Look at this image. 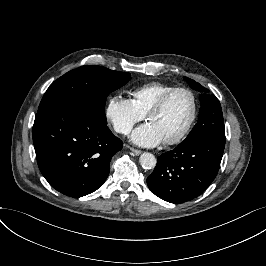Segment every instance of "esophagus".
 <instances>
[{
  "label": "esophagus",
  "instance_id": "1",
  "mask_svg": "<svg viewBox=\"0 0 266 266\" xmlns=\"http://www.w3.org/2000/svg\"><path fill=\"white\" fill-rule=\"evenodd\" d=\"M129 149H130L135 155H140V154L142 153L141 150H138V149H135V148H132V147H130Z\"/></svg>",
  "mask_w": 266,
  "mask_h": 266
}]
</instances>
